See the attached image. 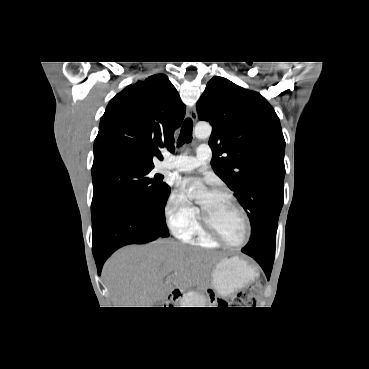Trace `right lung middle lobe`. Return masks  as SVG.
<instances>
[{"label":"right lung middle lobe","mask_w":369,"mask_h":369,"mask_svg":"<svg viewBox=\"0 0 369 369\" xmlns=\"http://www.w3.org/2000/svg\"><path fill=\"white\" fill-rule=\"evenodd\" d=\"M153 167L127 162L93 165L92 219L107 204L122 201L148 210L160 232L168 235L165 204L170 187L160 174H150Z\"/></svg>","instance_id":"1"}]
</instances>
